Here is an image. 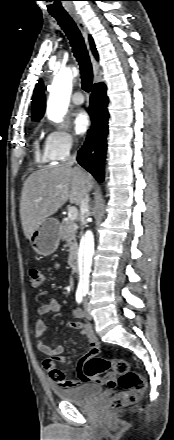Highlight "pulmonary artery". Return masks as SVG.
Returning a JSON list of instances; mask_svg holds the SVG:
<instances>
[{"label": "pulmonary artery", "instance_id": "1", "mask_svg": "<svg viewBox=\"0 0 174 440\" xmlns=\"http://www.w3.org/2000/svg\"><path fill=\"white\" fill-rule=\"evenodd\" d=\"M71 100L75 105H80V104L84 103V96L80 92H75L72 95Z\"/></svg>", "mask_w": 174, "mask_h": 440}]
</instances>
